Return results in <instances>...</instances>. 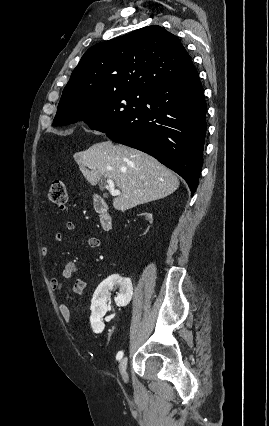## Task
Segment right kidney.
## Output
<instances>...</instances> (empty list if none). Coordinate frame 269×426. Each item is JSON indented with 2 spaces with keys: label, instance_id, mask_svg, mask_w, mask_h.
I'll list each match as a JSON object with an SVG mask.
<instances>
[{
  "label": "right kidney",
  "instance_id": "obj_1",
  "mask_svg": "<svg viewBox=\"0 0 269 426\" xmlns=\"http://www.w3.org/2000/svg\"><path fill=\"white\" fill-rule=\"evenodd\" d=\"M143 217L144 222L141 225L142 233L148 234L150 225H153L152 214L137 212V217ZM140 238L143 236L141 233L138 235ZM119 286L120 293L115 298V302L120 306L121 309H126L131 305L133 292L130 280L123 279L119 276L112 275L105 281H103L97 288L93 300H92V313L90 316V323L94 333H101L104 329L102 317L107 311V298L109 296L110 289Z\"/></svg>",
  "mask_w": 269,
  "mask_h": 426
}]
</instances>
